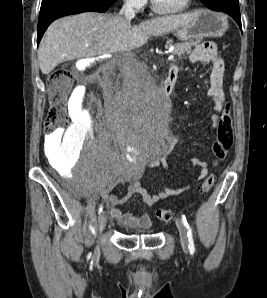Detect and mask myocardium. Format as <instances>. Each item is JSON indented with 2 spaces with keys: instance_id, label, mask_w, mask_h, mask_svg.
Wrapping results in <instances>:
<instances>
[{
  "instance_id": "1",
  "label": "myocardium",
  "mask_w": 267,
  "mask_h": 298,
  "mask_svg": "<svg viewBox=\"0 0 267 298\" xmlns=\"http://www.w3.org/2000/svg\"><path fill=\"white\" fill-rule=\"evenodd\" d=\"M192 0H185V3L183 4V6L181 8H179L178 10H175V11H166V10H162L156 3L155 0H151V7H152V10L159 14V15H166V16H172V15H178V14H181L183 12H185L190 4H191Z\"/></svg>"
}]
</instances>
